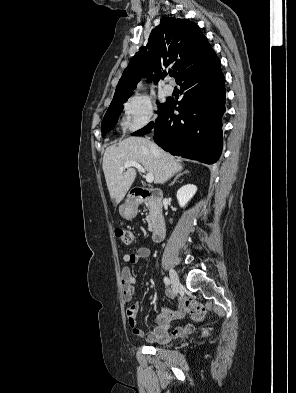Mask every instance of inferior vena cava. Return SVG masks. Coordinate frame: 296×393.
Segmentation results:
<instances>
[{"label": "inferior vena cava", "mask_w": 296, "mask_h": 393, "mask_svg": "<svg viewBox=\"0 0 296 393\" xmlns=\"http://www.w3.org/2000/svg\"><path fill=\"white\" fill-rule=\"evenodd\" d=\"M151 149L153 152L155 153L157 152L156 145L154 143L152 144Z\"/></svg>", "instance_id": "inferior-vena-cava-1"}]
</instances>
